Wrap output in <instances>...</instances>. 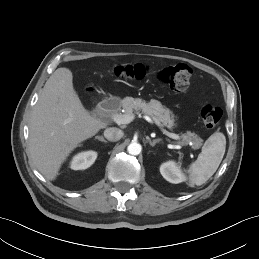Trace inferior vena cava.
<instances>
[{
	"label": "inferior vena cava",
	"instance_id": "602c4592",
	"mask_svg": "<svg viewBox=\"0 0 259 259\" xmlns=\"http://www.w3.org/2000/svg\"><path fill=\"white\" fill-rule=\"evenodd\" d=\"M104 136L109 141H118L123 137V132L119 128L110 127L104 131Z\"/></svg>",
	"mask_w": 259,
	"mask_h": 259
}]
</instances>
